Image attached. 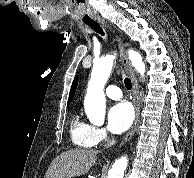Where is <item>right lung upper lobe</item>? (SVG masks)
Listing matches in <instances>:
<instances>
[{
    "label": "right lung upper lobe",
    "instance_id": "1",
    "mask_svg": "<svg viewBox=\"0 0 194 178\" xmlns=\"http://www.w3.org/2000/svg\"><path fill=\"white\" fill-rule=\"evenodd\" d=\"M77 84H78V77L76 76L73 83H72V86H71V90H70V94H69V98H68V105L71 102V100L75 94Z\"/></svg>",
    "mask_w": 194,
    "mask_h": 178
}]
</instances>
